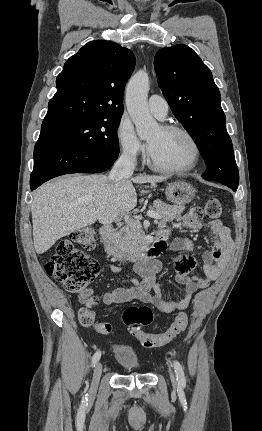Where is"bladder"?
<instances>
[{"mask_svg":"<svg viewBox=\"0 0 262 431\" xmlns=\"http://www.w3.org/2000/svg\"><path fill=\"white\" fill-rule=\"evenodd\" d=\"M116 356L119 363L127 370H134L140 366L138 354L128 345L118 344Z\"/></svg>","mask_w":262,"mask_h":431,"instance_id":"1","label":"bladder"}]
</instances>
